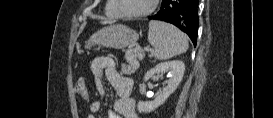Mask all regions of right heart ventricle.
I'll return each instance as SVG.
<instances>
[{
  "mask_svg": "<svg viewBox=\"0 0 273 118\" xmlns=\"http://www.w3.org/2000/svg\"><path fill=\"white\" fill-rule=\"evenodd\" d=\"M104 11L107 16H111V17H120L121 16L119 10L117 9V7L115 5L114 0L107 1Z\"/></svg>",
  "mask_w": 273,
  "mask_h": 118,
  "instance_id": "right-heart-ventricle-1",
  "label": "right heart ventricle"
}]
</instances>
